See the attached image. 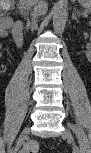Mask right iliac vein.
Masks as SVG:
<instances>
[{
  "mask_svg": "<svg viewBox=\"0 0 91 153\" xmlns=\"http://www.w3.org/2000/svg\"><path fill=\"white\" fill-rule=\"evenodd\" d=\"M29 132H30V129L28 127L23 129V131L21 132V134H20V136L18 138L17 144H16V146L14 148V153H16L19 150V148L21 147V145L23 144L25 139L28 137Z\"/></svg>",
  "mask_w": 91,
  "mask_h": 153,
  "instance_id": "obj_1",
  "label": "right iliac vein"
}]
</instances>
